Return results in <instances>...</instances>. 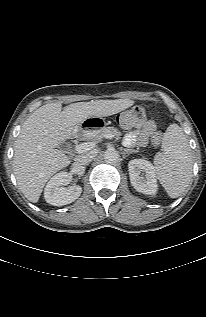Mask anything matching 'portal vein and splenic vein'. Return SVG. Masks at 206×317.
I'll list each match as a JSON object with an SVG mask.
<instances>
[{"label": "portal vein and splenic vein", "mask_w": 206, "mask_h": 317, "mask_svg": "<svg viewBox=\"0 0 206 317\" xmlns=\"http://www.w3.org/2000/svg\"><path fill=\"white\" fill-rule=\"evenodd\" d=\"M104 137L107 138V139H111V138H113V135L112 134H106V135H104ZM94 147H95V142H85V143L79 144L76 147V151L78 153H82V152H85V151H89V150H91Z\"/></svg>", "instance_id": "obj_1"}]
</instances>
